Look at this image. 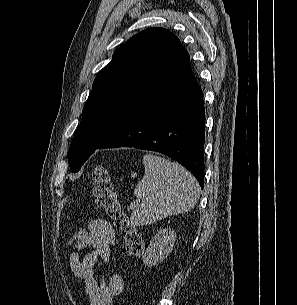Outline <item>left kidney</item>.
I'll return each mask as SVG.
<instances>
[{
  "label": "left kidney",
  "instance_id": "left-kidney-1",
  "mask_svg": "<svg viewBox=\"0 0 297 305\" xmlns=\"http://www.w3.org/2000/svg\"><path fill=\"white\" fill-rule=\"evenodd\" d=\"M176 233L171 228L160 230L150 241L143 255V263L152 267L164 260L172 251L175 244Z\"/></svg>",
  "mask_w": 297,
  "mask_h": 305
}]
</instances>
